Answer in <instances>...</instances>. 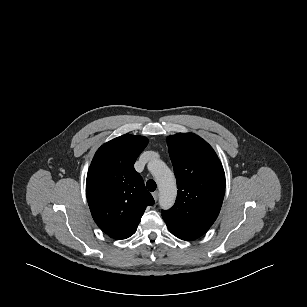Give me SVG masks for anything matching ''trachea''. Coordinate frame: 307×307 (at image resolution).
<instances>
[{
	"mask_svg": "<svg viewBox=\"0 0 307 307\" xmlns=\"http://www.w3.org/2000/svg\"><path fill=\"white\" fill-rule=\"evenodd\" d=\"M146 187L148 188L149 191L153 192L156 190L157 185L154 180L150 179L146 182Z\"/></svg>",
	"mask_w": 307,
	"mask_h": 307,
	"instance_id": "3493384b",
	"label": "trachea"
}]
</instances>
